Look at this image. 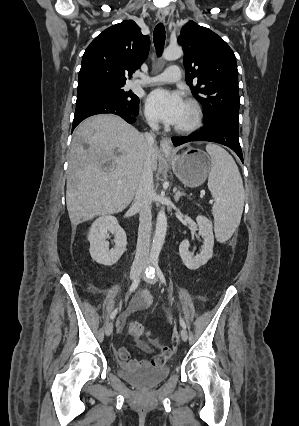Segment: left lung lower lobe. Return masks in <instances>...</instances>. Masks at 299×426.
Masks as SVG:
<instances>
[{
	"label": "left lung lower lobe",
	"mask_w": 299,
	"mask_h": 426,
	"mask_svg": "<svg viewBox=\"0 0 299 426\" xmlns=\"http://www.w3.org/2000/svg\"><path fill=\"white\" fill-rule=\"evenodd\" d=\"M191 141H210L223 144L231 148L243 162V155L239 143V126L224 120L205 122V126L198 132L185 137H173L174 146Z\"/></svg>",
	"instance_id": "obj_1"
}]
</instances>
